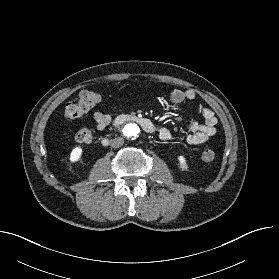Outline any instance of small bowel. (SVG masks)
Segmentation results:
<instances>
[{
	"mask_svg": "<svg viewBox=\"0 0 279 279\" xmlns=\"http://www.w3.org/2000/svg\"><path fill=\"white\" fill-rule=\"evenodd\" d=\"M196 93L192 89H174L170 93V100L174 104H180L186 100H194ZM197 110L203 117V123L200 124L196 121L188 123V134L184 137V141L190 145H199L207 142L210 137L216 134L217 118L214 112L202 105L197 107ZM94 121L98 130H104L110 124L112 117L110 114L97 111L93 114ZM155 132L159 138L163 141H170L173 138V134L166 126H154Z\"/></svg>",
	"mask_w": 279,
	"mask_h": 279,
	"instance_id": "small-bowel-1",
	"label": "small bowel"
}]
</instances>
